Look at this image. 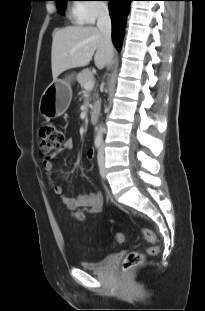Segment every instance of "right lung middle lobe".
Masks as SVG:
<instances>
[{"label":"right lung middle lobe","mask_w":205,"mask_h":311,"mask_svg":"<svg viewBox=\"0 0 205 311\" xmlns=\"http://www.w3.org/2000/svg\"><path fill=\"white\" fill-rule=\"evenodd\" d=\"M59 14L64 15L66 2L69 0H55Z\"/></svg>","instance_id":"1"}]
</instances>
